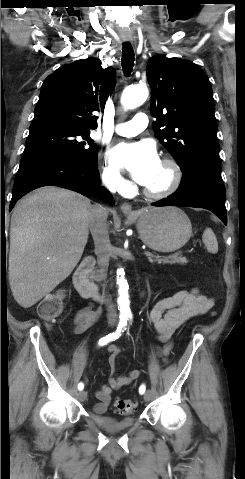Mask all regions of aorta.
Here are the masks:
<instances>
[{
  "label": "aorta",
  "mask_w": 245,
  "mask_h": 479,
  "mask_svg": "<svg viewBox=\"0 0 245 479\" xmlns=\"http://www.w3.org/2000/svg\"><path fill=\"white\" fill-rule=\"evenodd\" d=\"M148 97V89L144 85L127 87L122 94L121 103L125 109H134L142 105ZM127 169L133 171L137 168L136 162L131 161L126 165ZM117 285H118V307L120 313L123 315H130L128 283L124 278V270H117Z\"/></svg>",
  "instance_id": "aorta-1"
}]
</instances>
